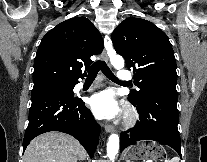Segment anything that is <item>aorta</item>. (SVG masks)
Segmentation results:
<instances>
[{
    "label": "aorta",
    "instance_id": "aorta-1",
    "mask_svg": "<svg viewBox=\"0 0 207 162\" xmlns=\"http://www.w3.org/2000/svg\"><path fill=\"white\" fill-rule=\"evenodd\" d=\"M111 64L116 69H121L124 67L123 57L120 55H114L110 57ZM119 150V136L116 133H113L109 136L107 143V156L109 160H114L118 154Z\"/></svg>",
    "mask_w": 207,
    "mask_h": 162
}]
</instances>
